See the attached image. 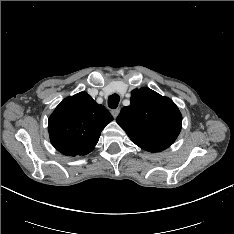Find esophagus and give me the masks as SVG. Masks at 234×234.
<instances>
[{"mask_svg": "<svg viewBox=\"0 0 234 234\" xmlns=\"http://www.w3.org/2000/svg\"><path fill=\"white\" fill-rule=\"evenodd\" d=\"M120 113V109H114L111 111V114L114 118H116Z\"/></svg>", "mask_w": 234, "mask_h": 234, "instance_id": "obj_1", "label": "esophagus"}]
</instances>
